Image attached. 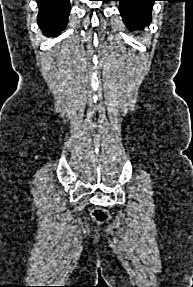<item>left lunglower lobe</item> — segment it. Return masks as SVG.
Masks as SVG:
<instances>
[{
  "label": "left lung lower lobe",
  "instance_id": "obj_1",
  "mask_svg": "<svg viewBox=\"0 0 193 287\" xmlns=\"http://www.w3.org/2000/svg\"><path fill=\"white\" fill-rule=\"evenodd\" d=\"M120 2L119 11L130 31L142 30L151 21V10L158 0H115Z\"/></svg>",
  "mask_w": 193,
  "mask_h": 287
}]
</instances>
